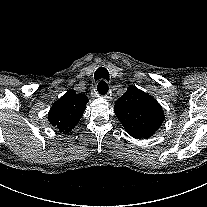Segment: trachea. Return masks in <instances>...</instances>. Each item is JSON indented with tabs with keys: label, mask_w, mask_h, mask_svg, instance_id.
Masks as SVG:
<instances>
[{
	"label": "trachea",
	"mask_w": 207,
	"mask_h": 207,
	"mask_svg": "<svg viewBox=\"0 0 207 207\" xmlns=\"http://www.w3.org/2000/svg\"><path fill=\"white\" fill-rule=\"evenodd\" d=\"M94 78L95 80L102 79L101 81H99L97 88H98V92L101 95H105L108 92L109 88L107 83L103 79L107 81L109 80V72L107 71L106 68L100 67L95 71Z\"/></svg>",
	"instance_id": "trachea-1"
}]
</instances>
